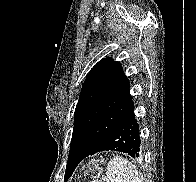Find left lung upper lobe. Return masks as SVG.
<instances>
[{
	"mask_svg": "<svg viewBox=\"0 0 196 182\" xmlns=\"http://www.w3.org/2000/svg\"><path fill=\"white\" fill-rule=\"evenodd\" d=\"M132 107L129 80L121 64L112 58L100 60L87 75L80 92L70 151H93ZM75 168L68 157L65 180Z\"/></svg>",
	"mask_w": 196,
	"mask_h": 182,
	"instance_id": "5c2ea615",
	"label": "left lung upper lobe"
}]
</instances>
